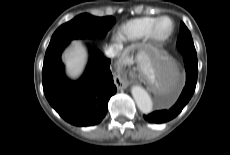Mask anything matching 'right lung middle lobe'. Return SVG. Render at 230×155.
<instances>
[{"label":"right lung middle lobe","mask_w":230,"mask_h":155,"mask_svg":"<svg viewBox=\"0 0 230 155\" xmlns=\"http://www.w3.org/2000/svg\"><path fill=\"white\" fill-rule=\"evenodd\" d=\"M115 22L114 17H95L87 13L61 25L53 34L48 48L68 43L73 39L103 37Z\"/></svg>","instance_id":"obj_1"}]
</instances>
